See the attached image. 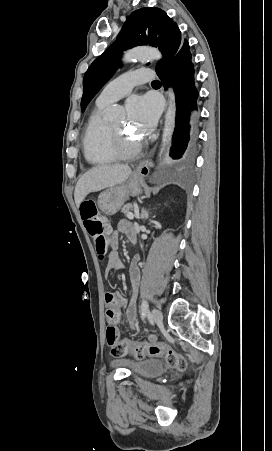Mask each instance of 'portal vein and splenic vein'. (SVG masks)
Returning a JSON list of instances; mask_svg holds the SVG:
<instances>
[{"instance_id": "obj_1", "label": "portal vein and splenic vein", "mask_w": 272, "mask_h": 451, "mask_svg": "<svg viewBox=\"0 0 272 451\" xmlns=\"http://www.w3.org/2000/svg\"><path fill=\"white\" fill-rule=\"evenodd\" d=\"M127 218H129V220H133L134 214H132V212H128Z\"/></svg>"}]
</instances>
